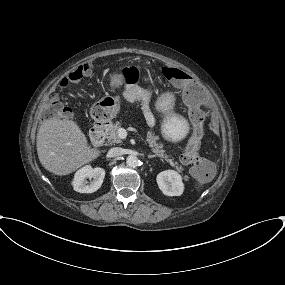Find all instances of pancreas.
<instances>
[{
  "instance_id": "pancreas-1",
  "label": "pancreas",
  "mask_w": 285,
  "mask_h": 285,
  "mask_svg": "<svg viewBox=\"0 0 285 285\" xmlns=\"http://www.w3.org/2000/svg\"><path fill=\"white\" fill-rule=\"evenodd\" d=\"M119 128H121L120 122H117L115 124L111 123L107 125L105 136L111 144L121 143V139L118 136ZM158 139V136H156L152 131L147 132L146 141L148 142L151 151L155 154V157L163 158L166 162H168L171 166L175 167L178 171H182V167L179 166L176 162H174V159H171L170 156L165 153V151L162 149V143L157 142Z\"/></svg>"
}]
</instances>
